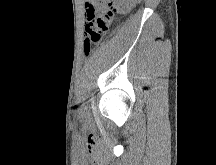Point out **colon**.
<instances>
[{
    "mask_svg": "<svg viewBox=\"0 0 216 165\" xmlns=\"http://www.w3.org/2000/svg\"><path fill=\"white\" fill-rule=\"evenodd\" d=\"M121 7V0H109V10L105 13H96L95 10H86V25L83 50L86 55L93 52L104 34L113 24Z\"/></svg>",
    "mask_w": 216,
    "mask_h": 165,
    "instance_id": "5ec220e1",
    "label": "colon"
}]
</instances>
